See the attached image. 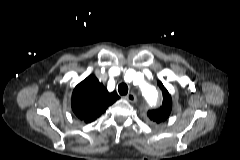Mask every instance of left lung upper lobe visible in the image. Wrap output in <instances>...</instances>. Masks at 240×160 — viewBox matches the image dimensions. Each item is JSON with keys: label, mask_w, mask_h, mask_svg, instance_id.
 Segmentation results:
<instances>
[{"label": "left lung upper lobe", "mask_w": 240, "mask_h": 160, "mask_svg": "<svg viewBox=\"0 0 240 160\" xmlns=\"http://www.w3.org/2000/svg\"><path fill=\"white\" fill-rule=\"evenodd\" d=\"M159 87L163 93V104L160 108L150 110L147 113L149 119L155 123H161L165 121L169 117L172 109V99L169 92L163 86L162 82H159Z\"/></svg>", "instance_id": "left-lung-upper-lobe-1"}]
</instances>
